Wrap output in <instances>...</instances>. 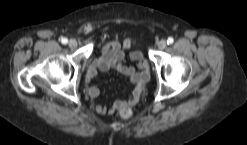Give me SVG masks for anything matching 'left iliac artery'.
I'll return each instance as SVG.
<instances>
[{"label": "left iliac artery", "instance_id": "left-iliac-artery-1", "mask_svg": "<svg viewBox=\"0 0 247 145\" xmlns=\"http://www.w3.org/2000/svg\"><path fill=\"white\" fill-rule=\"evenodd\" d=\"M173 42H174V39L172 38V37H169L168 39H167V44L169 45V44H173Z\"/></svg>", "mask_w": 247, "mask_h": 145}]
</instances>
